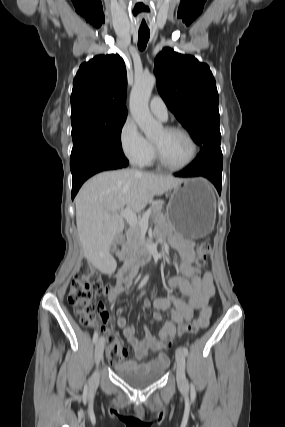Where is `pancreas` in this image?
I'll list each match as a JSON object with an SVG mask.
<instances>
[{"mask_svg":"<svg viewBox=\"0 0 285 427\" xmlns=\"http://www.w3.org/2000/svg\"><path fill=\"white\" fill-rule=\"evenodd\" d=\"M151 211V219L155 224H165L166 218L163 214V204L154 203L149 209ZM141 246V228L139 225L130 226L126 232V241H125V252L126 255H131L134 250L140 248Z\"/></svg>","mask_w":285,"mask_h":427,"instance_id":"obj_1","label":"pancreas"}]
</instances>
